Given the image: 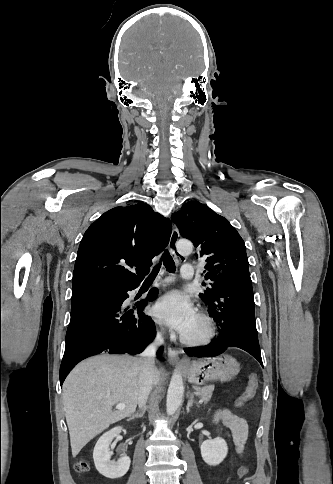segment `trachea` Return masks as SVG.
<instances>
[{
	"label": "trachea",
	"mask_w": 333,
	"mask_h": 484,
	"mask_svg": "<svg viewBox=\"0 0 333 484\" xmlns=\"http://www.w3.org/2000/svg\"><path fill=\"white\" fill-rule=\"evenodd\" d=\"M162 262H163V265L166 267V270L168 272H170V273L175 272V270H176L175 262H174L172 256L170 255L169 251L165 250V252L161 256L159 264H157L153 268V270H152L151 274L148 276L147 280H154L155 279V277L157 276V274L159 272V269H160Z\"/></svg>",
	"instance_id": "1"
}]
</instances>
